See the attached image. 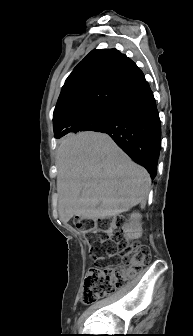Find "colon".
Returning a JSON list of instances; mask_svg holds the SVG:
<instances>
[{
    "label": "colon",
    "instance_id": "obj_1",
    "mask_svg": "<svg viewBox=\"0 0 193 336\" xmlns=\"http://www.w3.org/2000/svg\"><path fill=\"white\" fill-rule=\"evenodd\" d=\"M75 226L89 237L94 246V257L102 259L105 256H120L123 260L119 266H101L88 270L80 298L83 304L94 303L115 289L124 287L151 258L148 246L129 244L123 238L122 218L103 221L79 219Z\"/></svg>",
    "mask_w": 193,
    "mask_h": 336
}]
</instances>
